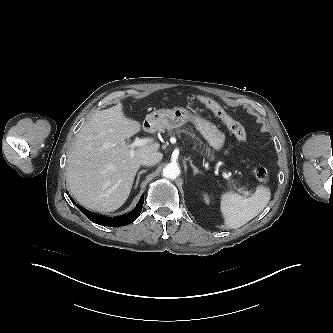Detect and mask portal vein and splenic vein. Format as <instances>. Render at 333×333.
Instances as JSON below:
<instances>
[{
    "instance_id": "portal-vein-and-splenic-vein-1",
    "label": "portal vein and splenic vein",
    "mask_w": 333,
    "mask_h": 333,
    "mask_svg": "<svg viewBox=\"0 0 333 333\" xmlns=\"http://www.w3.org/2000/svg\"><path fill=\"white\" fill-rule=\"evenodd\" d=\"M151 142V139H149V138H136L135 140H134V142L133 143H131V144H129V148L131 149V151H133L134 150V148H136V147H140V146H144V145H146V144H148V143H150ZM222 176L226 179V180H229L230 179V174H227V173H225V172H223L222 173ZM242 190H240V192H241ZM243 192V194L245 195V196H248V192H246V191H242Z\"/></svg>"
}]
</instances>
